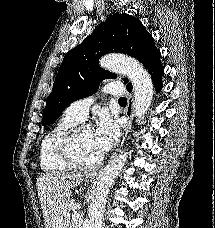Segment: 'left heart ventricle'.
<instances>
[{
	"label": "left heart ventricle",
	"mask_w": 215,
	"mask_h": 228,
	"mask_svg": "<svg viewBox=\"0 0 215 228\" xmlns=\"http://www.w3.org/2000/svg\"><path fill=\"white\" fill-rule=\"evenodd\" d=\"M93 134L94 131L86 126L80 131L74 143V155L83 164L92 163L101 157L94 145Z\"/></svg>",
	"instance_id": "left-heart-ventricle-1"
}]
</instances>
